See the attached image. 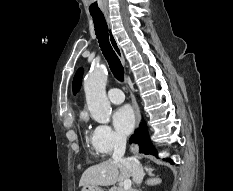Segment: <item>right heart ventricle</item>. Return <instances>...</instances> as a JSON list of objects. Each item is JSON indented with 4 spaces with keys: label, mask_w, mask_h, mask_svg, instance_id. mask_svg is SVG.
Here are the masks:
<instances>
[{
    "label": "right heart ventricle",
    "mask_w": 233,
    "mask_h": 191,
    "mask_svg": "<svg viewBox=\"0 0 233 191\" xmlns=\"http://www.w3.org/2000/svg\"><path fill=\"white\" fill-rule=\"evenodd\" d=\"M86 139L91 144V153L93 155H95V156L100 155L101 153L98 151V149L96 148L95 143H94V132L93 133H89L87 131L86 132Z\"/></svg>",
    "instance_id": "obj_1"
}]
</instances>
